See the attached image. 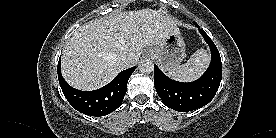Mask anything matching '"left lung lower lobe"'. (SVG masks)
Returning a JSON list of instances; mask_svg holds the SVG:
<instances>
[{
	"mask_svg": "<svg viewBox=\"0 0 276 138\" xmlns=\"http://www.w3.org/2000/svg\"><path fill=\"white\" fill-rule=\"evenodd\" d=\"M211 49V63L205 73L196 81L183 83L168 78L154 65L155 89L162 102L169 108L188 112L208 104L215 96L222 74L220 54L211 38L194 22Z\"/></svg>",
	"mask_w": 276,
	"mask_h": 138,
	"instance_id": "left-lung-lower-lobe-1",
	"label": "left lung lower lobe"
}]
</instances>
